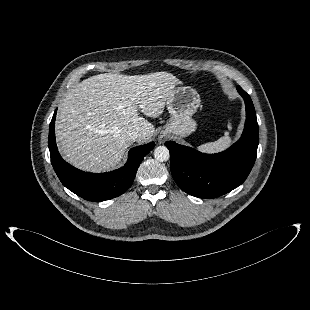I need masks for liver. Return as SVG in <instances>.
I'll list each match as a JSON object with an SVG mask.
<instances>
[{
    "mask_svg": "<svg viewBox=\"0 0 310 310\" xmlns=\"http://www.w3.org/2000/svg\"><path fill=\"white\" fill-rule=\"evenodd\" d=\"M182 82L168 72L147 75L104 73L80 82L60 104L55 132L58 147L73 166L89 172L116 167L138 130L139 143L150 140L154 125L140 117L160 116L168 97Z\"/></svg>",
    "mask_w": 310,
    "mask_h": 310,
    "instance_id": "6515ba94",
    "label": "liver"
}]
</instances>
